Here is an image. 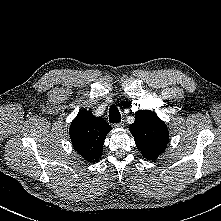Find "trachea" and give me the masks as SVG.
Listing matches in <instances>:
<instances>
[{
    "mask_svg": "<svg viewBox=\"0 0 221 221\" xmlns=\"http://www.w3.org/2000/svg\"><path fill=\"white\" fill-rule=\"evenodd\" d=\"M121 121V114L115 105H112L109 109V122L119 123Z\"/></svg>",
    "mask_w": 221,
    "mask_h": 221,
    "instance_id": "1",
    "label": "trachea"
}]
</instances>
